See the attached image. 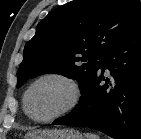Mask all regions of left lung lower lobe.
<instances>
[{
	"instance_id": "obj_1",
	"label": "left lung lower lobe",
	"mask_w": 141,
	"mask_h": 139,
	"mask_svg": "<svg viewBox=\"0 0 141 139\" xmlns=\"http://www.w3.org/2000/svg\"><path fill=\"white\" fill-rule=\"evenodd\" d=\"M100 69H109L112 80ZM53 124L87 126L116 139H141V27L106 53L79 104Z\"/></svg>"
}]
</instances>
